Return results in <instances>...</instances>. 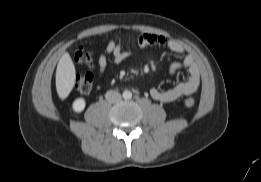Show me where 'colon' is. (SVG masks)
I'll return each mask as SVG.
<instances>
[{
  "instance_id": "colon-1",
  "label": "colon",
  "mask_w": 261,
  "mask_h": 182,
  "mask_svg": "<svg viewBox=\"0 0 261 182\" xmlns=\"http://www.w3.org/2000/svg\"><path fill=\"white\" fill-rule=\"evenodd\" d=\"M75 60L85 66H90L91 55L84 47H80L76 52ZM76 89L83 94H89L93 90V76L91 73H86L83 75H78L75 80ZM185 106L192 107L195 104V99L193 97H188L184 101Z\"/></svg>"
}]
</instances>
